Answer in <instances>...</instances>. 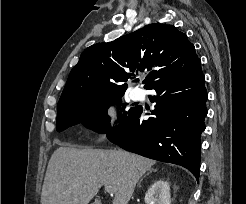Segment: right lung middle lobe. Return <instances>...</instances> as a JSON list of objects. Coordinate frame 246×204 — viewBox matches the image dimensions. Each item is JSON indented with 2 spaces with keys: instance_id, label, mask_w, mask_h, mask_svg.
Wrapping results in <instances>:
<instances>
[{
  "instance_id": "right-lung-middle-lobe-1",
  "label": "right lung middle lobe",
  "mask_w": 246,
  "mask_h": 204,
  "mask_svg": "<svg viewBox=\"0 0 246 204\" xmlns=\"http://www.w3.org/2000/svg\"><path fill=\"white\" fill-rule=\"evenodd\" d=\"M123 94L85 95L58 102L57 131H62L70 126L81 123L99 133L110 132L112 127L110 126V117L107 115L108 107L115 103L120 107V99ZM135 108L132 107L129 111H124L122 122ZM120 121L121 118L119 119Z\"/></svg>"
}]
</instances>
